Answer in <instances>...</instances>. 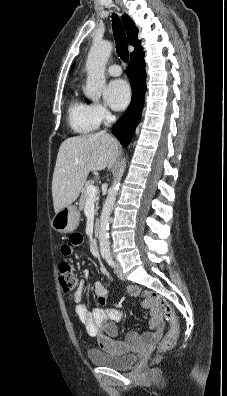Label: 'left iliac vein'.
<instances>
[{
  "label": "left iliac vein",
  "instance_id": "obj_1",
  "mask_svg": "<svg viewBox=\"0 0 227 396\" xmlns=\"http://www.w3.org/2000/svg\"><path fill=\"white\" fill-rule=\"evenodd\" d=\"M115 273L120 280H125V276L123 274L122 268L120 264H116Z\"/></svg>",
  "mask_w": 227,
  "mask_h": 396
}]
</instances>
